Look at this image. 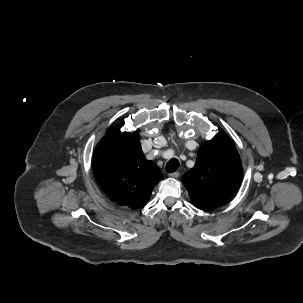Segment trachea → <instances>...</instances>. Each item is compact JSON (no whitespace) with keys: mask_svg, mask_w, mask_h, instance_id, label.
<instances>
[{"mask_svg":"<svg viewBox=\"0 0 303 303\" xmlns=\"http://www.w3.org/2000/svg\"><path fill=\"white\" fill-rule=\"evenodd\" d=\"M179 167V161L176 158H172L171 160L168 161V163L166 164V171L168 173H173L175 172Z\"/></svg>","mask_w":303,"mask_h":303,"instance_id":"obj_1","label":"trachea"}]
</instances>
